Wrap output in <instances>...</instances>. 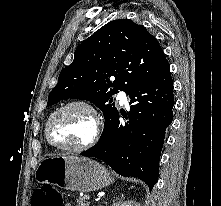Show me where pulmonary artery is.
<instances>
[{
    "instance_id": "e3ab8cb5",
    "label": "pulmonary artery",
    "mask_w": 221,
    "mask_h": 206,
    "mask_svg": "<svg viewBox=\"0 0 221 206\" xmlns=\"http://www.w3.org/2000/svg\"><path fill=\"white\" fill-rule=\"evenodd\" d=\"M117 98L121 104H124L127 102V96L124 91H120L117 95Z\"/></svg>"
}]
</instances>
